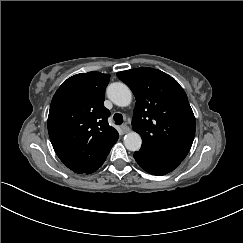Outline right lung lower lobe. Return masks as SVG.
<instances>
[{
  "instance_id": "right-lung-lower-lobe-1",
  "label": "right lung lower lobe",
  "mask_w": 243,
  "mask_h": 243,
  "mask_svg": "<svg viewBox=\"0 0 243 243\" xmlns=\"http://www.w3.org/2000/svg\"><path fill=\"white\" fill-rule=\"evenodd\" d=\"M106 159V158H105ZM105 159H103L98 165H96L92 170H90L89 172H87V174L89 173H93L94 171H96L105 161Z\"/></svg>"
}]
</instances>
